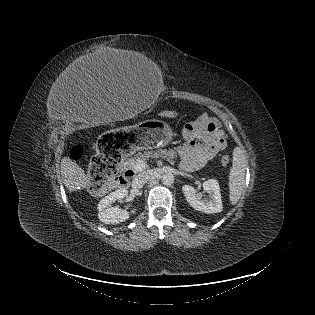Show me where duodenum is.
<instances>
[{
    "label": "duodenum",
    "mask_w": 315,
    "mask_h": 315,
    "mask_svg": "<svg viewBox=\"0 0 315 315\" xmlns=\"http://www.w3.org/2000/svg\"><path fill=\"white\" fill-rule=\"evenodd\" d=\"M133 176H134V171L126 166H123L121 170V174L117 180V186L127 187Z\"/></svg>",
    "instance_id": "obj_1"
}]
</instances>
